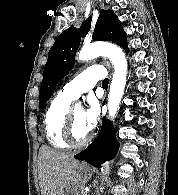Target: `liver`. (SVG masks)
Masks as SVG:
<instances>
[{
    "label": "liver",
    "mask_w": 178,
    "mask_h": 195,
    "mask_svg": "<svg viewBox=\"0 0 178 195\" xmlns=\"http://www.w3.org/2000/svg\"><path fill=\"white\" fill-rule=\"evenodd\" d=\"M38 177L41 195H64L74 180L80 162L71 155L42 146L39 151Z\"/></svg>",
    "instance_id": "obj_1"
}]
</instances>
